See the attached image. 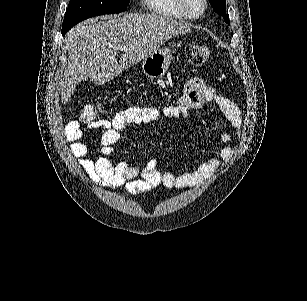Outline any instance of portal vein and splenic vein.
I'll list each match as a JSON object with an SVG mask.
<instances>
[{"label":"portal vein and splenic vein","mask_w":307,"mask_h":301,"mask_svg":"<svg viewBox=\"0 0 307 301\" xmlns=\"http://www.w3.org/2000/svg\"><path fill=\"white\" fill-rule=\"evenodd\" d=\"M118 50H129V46H121V48H118Z\"/></svg>","instance_id":"18ae733b"}]
</instances>
